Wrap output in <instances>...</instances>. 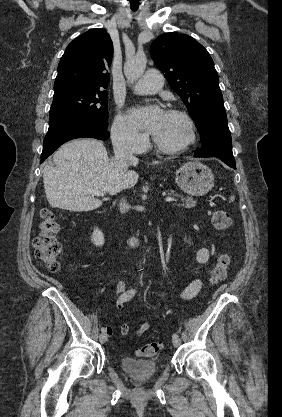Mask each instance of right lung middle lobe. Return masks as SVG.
Here are the masks:
<instances>
[{"label":"right lung middle lobe","mask_w":282,"mask_h":417,"mask_svg":"<svg viewBox=\"0 0 282 417\" xmlns=\"http://www.w3.org/2000/svg\"><path fill=\"white\" fill-rule=\"evenodd\" d=\"M108 94L98 88H76L54 92L49 125L73 117H84L107 129Z\"/></svg>","instance_id":"obj_1"}]
</instances>
